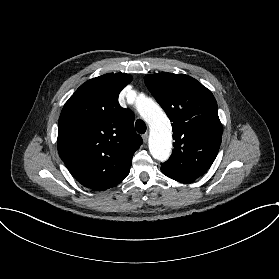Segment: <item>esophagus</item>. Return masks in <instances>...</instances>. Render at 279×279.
<instances>
[{"mask_svg": "<svg viewBox=\"0 0 279 279\" xmlns=\"http://www.w3.org/2000/svg\"><path fill=\"white\" fill-rule=\"evenodd\" d=\"M142 139H143L144 143H147V141H148V134L147 133L143 134L142 135Z\"/></svg>", "mask_w": 279, "mask_h": 279, "instance_id": "1", "label": "esophagus"}]
</instances>
